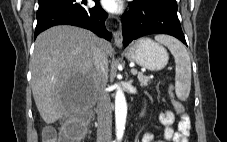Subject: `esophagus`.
Listing matches in <instances>:
<instances>
[{"mask_svg":"<svg viewBox=\"0 0 227 142\" xmlns=\"http://www.w3.org/2000/svg\"><path fill=\"white\" fill-rule=\"evenodd\" d=\"M114 43L117 47H121L123 44V37L121 31L118 29L113 33Z\"/></svg>","mask_w":227,"mask_h":142,"instance_id":"obj_1","label":"esophagus"}]
</instances>
